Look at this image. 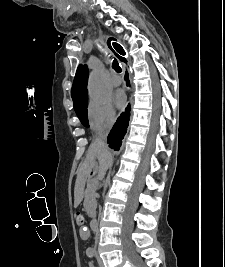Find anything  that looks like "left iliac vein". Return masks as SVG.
<instances>
[{"label":"left iliac vein","mask_w":225,"mask_h":267,"mask_svg":"<svg viewBox=\"0 0 225 267\" xmlns=\"http://www.w3.org/2000/svg\"><path fill=\"white\" fill-rule=\"evenodd\" d=\"M97 262L100 267H103V261L100 257H97Z\"/></svg>","instance_id":"left-iliac-vein-1"}]
</instances>
